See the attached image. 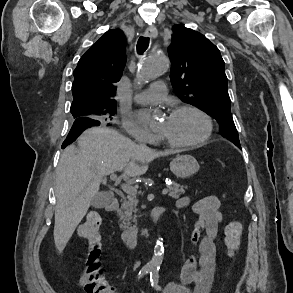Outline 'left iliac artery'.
Here are the masks:
<instances>
[{
    "mask_svg": "<svg viewBox=\"0 0 293 293\" xmlns=\"http://www.w3.org/2000/svg\"><path fill=\"white\" fill-rule=\"evenodd\" d=\"M150 283L156 290H160L158 269H152L150 272Z\"/></svg>",
    "mask_w": 293,
    "mask_h": 293,
    "instance_id": "obj_1",
    "label": "left iliac artery"
}]
</instances>
